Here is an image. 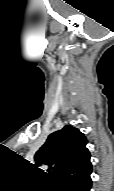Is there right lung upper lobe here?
<instances>
[{
    "mask_svg": "<svg viewBox=\"0 0 114 191\" xmlns=\"http://www.w3.org/2000/svg\"><path fill=\"white\" fill-rule=\"evenodd\" d=\"M86 144L87 139L79 129L66 125L51 133L36 152V166H48L54 181L60 184L66 178L92 169Z\"/></svg>",
    "mask_w": 114,
    "mask_h": 191,
    "instance_id": "cb5924a9",
    "label": "right lung upper lobe"
}]
</instances>
